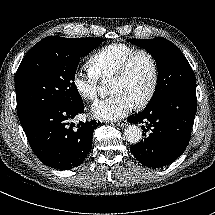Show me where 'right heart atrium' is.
Returning a JSON list of instances; mask_svg holds the SVG:
<instances>
[{
  "label": "right heart atrium",
  "instance_id": "1",
  "mask_svg": "<svg viewBox=\"0 0 215 215\" xmlns=\"http://www.w3.org/2000/svg\"><path fill=\"white\" fill-rule=\"evenodd\" d=\"M72 84L76 93L85 101L93 102L98 94V80L91 74L76 70L72 76Z\"/></svg>",
  "mask_w": 215,
  "mask_h": 215
}]
</instances>
